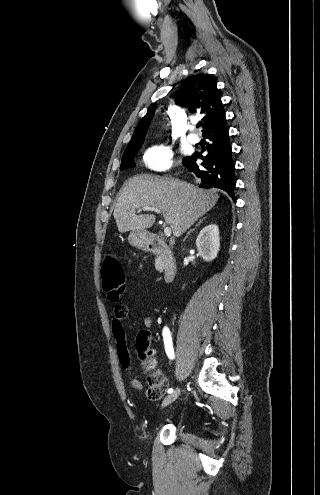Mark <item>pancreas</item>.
I'll return each mask as SVG.
<instances>
[{
  "label": "pancreas",
  "instance_id": "cf45deb5",
  "mask_svg": "<svg viewBox=\"0 0 320 495\" xmlns=\"http://www.w3.org/2000/svg\"><path fill=\"white\" fill-rule=\"evenodd\" d=\"M155 267L157 270H161L164 267V262L160 257L155 260Z\"/></svg>",
  "mask_w": 320,
  "mask_h": 495
}]
</instances>
